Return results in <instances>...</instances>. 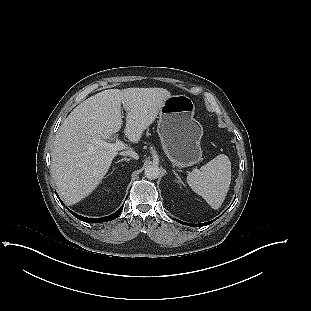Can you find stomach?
<instances>
[{"label":"stomach","mask_w":311,"mask_h":311,"mask_svg":"<svg viewBox=\"0 0 311 311\" xmlns=\"http://www.w3.org/2000/svg\"><path fill=\"white\" fill-rule=\"evenodd\" d=\"M195 104L186 95H171L159 110L157 132L173 166L185 168L202 157L201 124L194 118Z\"/></svg>","instance_id":"1"}]
</instances>
